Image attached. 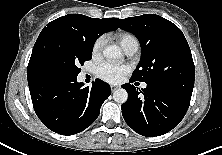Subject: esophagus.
Instances as JSON below:
<instances>
[{"label":"esophagus","mask_w":222,"mask_h":155,"mask_svg":"<svg viewBox=\"0 0 222 155\" xmlns=\"http://www.w3.org/2000/svg\"><path fill=\"white\" fill-rule=\"evenodd\" d=\"M110 88H111V91L114 92L119 88V86L118 85H110Z\"/></svg>","instance_id":"34e87169"}]
</instances>
